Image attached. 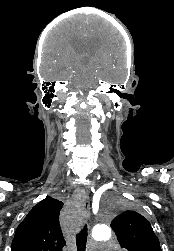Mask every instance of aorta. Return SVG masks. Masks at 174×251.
I'll list each match as a JSON object with an SVG mask.
<instances>
[{
    "instance_id": "1",
    "label": "aorta",
    "mask_w": 174,
    "mask_h": 251,
    "mask_svg": "<svg viewBox=\"0 0 174 251\" xmlns=\"http://www.w3.org/2000/svg\"><path fill=\"white\" fill-rule=\"evenodd\" d=\"M111 238V228L103 219L93 228V239L96 242H105Z\"/></svg>"
}]
</instances>
